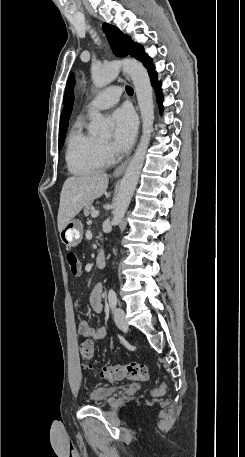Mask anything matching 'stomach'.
Returning a JSON list of instances; mask_svg holds the SVG:
<instances>
[{"label": "stomach", "mask_w": 245, "mask_h": 457, "mask_svg": "<svg viewBox=\"0 0 245 457\" xmlns=\"http://www.w3.org/2000/svg\"><path fill=\"white\" fill-rule=\"evenodd\" d=\"M60 239L67 249L77 247L83 239V224L78 218H71L60 231Z\"/></svg>", "instance_id": "0dacf381"}]
</instances>
